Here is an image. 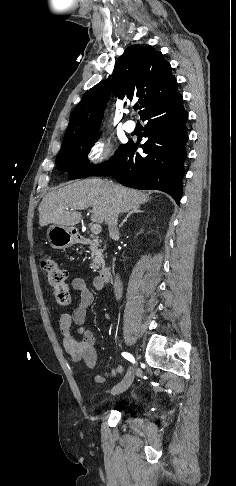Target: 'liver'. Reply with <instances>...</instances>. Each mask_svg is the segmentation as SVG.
I'll return each mask as SVG.
<instances>
[{
  "label": "liver",
  "mask_w": 236,
  "mask_h": 486,
  "mask_svg": "<svg viewBox=\"0 0 236 486\" xmlns=\"http://www.w3.org/2000/svg\"><path fill=\"white\" fill-rule=\"evenodd\" d=\"M150 199L149 193L99 178L76 181L45 195L38 209L39 225L75 226L82 218L76 210L89 206L92 207V222L108 224L115 208L128 212Z\"/></svg>",
  "instance_id": "6515ba94"
}]
</instances>
